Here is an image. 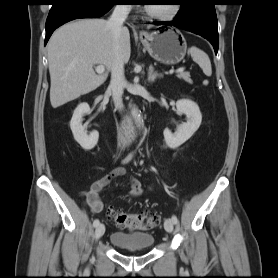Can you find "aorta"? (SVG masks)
<instances>
[{"label":"aorta","instance_id":"1","mask_svg":"<svg viewBox=\"0 0 278 278\" xmlns=\"http://www.w3.org/2000/svg\"><path fill=\"white\" fill-rule=\"evenodd\" d=\"M132 115L135 118L136 122L138 123L139 126H143V119L141 114L138 111V108L135 106H132Z\"/></svg>","mask_w":278,"mask_h":278}]
</instances>
